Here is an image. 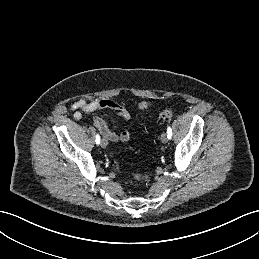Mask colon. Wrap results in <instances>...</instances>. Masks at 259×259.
<instances>
[{"mask_svg": "<svg viewBox=\"0 0 259 259\" xmlns=\"http://www.w3.org/2000/svg\"><path fill=\"white\" fill-rule=\"evenodd\" d=\"M173 116H174V112L171 109H164L157 114V120L161 123H164L171 120ZM111 163L116 171L121 172V167L118 161L113 157H112ZM131 175L138 184H143L148 181V177L142 173L132 172Z\"/></svg>", "mask_w": 259, "mask_h": 259, "instance_id": "5ec220e1", "label": "colon"}]
</instances>
